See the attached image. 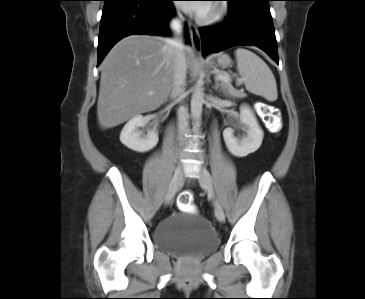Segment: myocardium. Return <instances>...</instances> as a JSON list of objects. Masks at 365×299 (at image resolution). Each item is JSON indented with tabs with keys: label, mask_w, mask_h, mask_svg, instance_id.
Wrapping results in <instances>:
<instances>
[{
	"label": "myocardium",
	"mask_w": 365,
	"mask_h": 299,
	"mask_svg": "<svg viewBox=\"0 0 365 299\" xmlns=\"http://www.w3.org/2000/svg\"><path fill=\"white\" fill-rule=\"evenodd\" d=\"M229 12V6L226 2L219 1L210 5V10L203 15L198 16V21L203 24H215L222 21Z\"/></svg>",
	"instance_id": "obj_1"
}]
</instances>
